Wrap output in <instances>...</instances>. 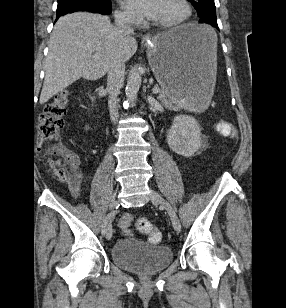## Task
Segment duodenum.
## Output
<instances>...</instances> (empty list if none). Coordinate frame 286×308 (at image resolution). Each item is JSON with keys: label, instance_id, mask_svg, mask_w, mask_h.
Segmentation results:
<instances>
[{"label": "duodenum", "instance_id": "410a0bca", "mask_svg": "<svg viewBox=\"0 0 286 308\" xmlns=\"http://www.w3.org/2000/svg\"><path fill=\"white\" fill-rule=\"evenodd\" d=\"M95 103H96V106L98 107V104H97V102L95 101Z\"/></svg>", "mask_w": 286, "mask_h": 308}]
</instances>
